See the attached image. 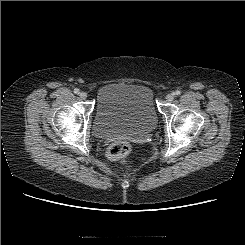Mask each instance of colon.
I'll return each instance as SVG.
<instances>
[{"label":"colon","mask_w":245,"mask_h":245,"mask_svg":"<svg viewBox=\"0 0 245 245\" xmlns=\"http://www.w3.org/2000/svg\"><path fill=\"white\" fill-rule=\"evenodd\" d=\"M131 152V145L127 141H117L112 143L107 149V157L115 162L120 163L126 168L130 165L127 162V156Z\"/></svg>","instance_id":"colon-1"}]
</instances>
